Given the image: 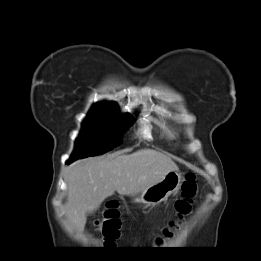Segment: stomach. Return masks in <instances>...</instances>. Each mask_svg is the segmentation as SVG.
Wrapping results in <instances>:
<instances>
[{
	"mask_svg": "<svg viewBox=\"0 0 261 261\" xmlns=\"http://www.w3.org/2000/svg\"><path fill=\"white\" fill-rule=\"evenodd\" d=\"M182 182V176L178 170L170 171L158 183L141 192L134 201L146 205H156L165 201L172 193L177 191Z\"/></svg>",
	"mask_w": 261,
	"mask_h": 261,
	"instance_id": "0dacf381",
	"label": "stomach"
}]
</instances>
